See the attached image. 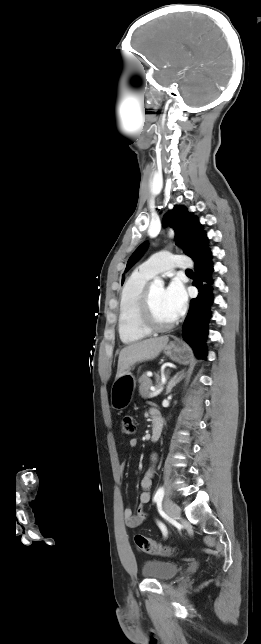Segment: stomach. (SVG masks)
Masks as SVG:
<instances>
[{
	"label": "stomach",
	"mask_w": 261,
	"mask_h": 644,
	"mask_svg": "<svg viewBox=\"0 0 261 644\" xmlns=\"http://www.w3.org/2000/svg\"><path fill=\"white\" fill-rule=\"evenodd\" d=\"M163 353L172 361L187 365L192 360L190 348L182 343L170 342L163 348ZM136 388V379L128 369L124 375L116 379L111 387V406L115 410H123L131 403Z\"/></svg>",
	"instance_id": "obj_1"
}]
</instances>
